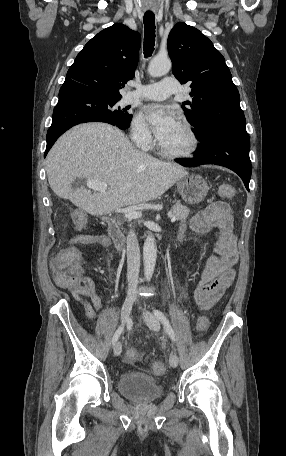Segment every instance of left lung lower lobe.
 I'll use <instances>...</instances> for the list:
<instances>
[{
	"mask_svg": "<svg viewBox=\"0 0 286 456\" xmlns=\"http://www.w3.org/2000/svg\"><path fill=\"white\" fill-rule=\"evenodd\" d=\"M196 156L186 161L176 160L185 167L203 164H216L237 173L249 191L251 161L249 158L250 138L246 129L235 127H216L201 137Z\"/></svg>",
	"mask_w": 286,
	"mask_h": 456,
	"instance_id": "left-lung-lower-lobe-1",
	"label": "left lung lower lobe"
}]
</instances>
